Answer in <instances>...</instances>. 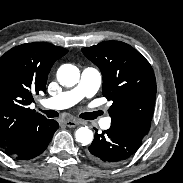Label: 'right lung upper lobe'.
I'll use <instances>...</instances> for the list:
<instances>
[{
	"instance_id": "obj_1",
	"label": "right lung upper lobe",
	"mask_w": 183,
	"mask_h": 183,
	"mask_svg": "<svg viewBox=\"0 0 183 183\" xmlns=\"http://www.w3.org/2000/svg\"><path fill=\"white\" fill-rule=\"evenodd\" d=\"M68 50L47 43L16 46L0 58V147L8 155L24 151L30 130L47 119L28 106L45 92L54 62Z\"/></svg>"
}]
</instances>
